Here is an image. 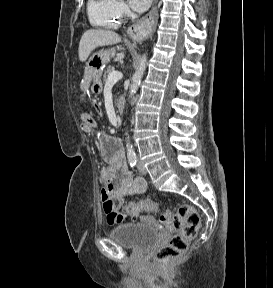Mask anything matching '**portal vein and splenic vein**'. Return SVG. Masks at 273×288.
<instances>
[{"label": "portal vein and splenic vein", "instance_id": "18ae733b", "mask_svg": "<svg viewBox=\"0 0 273 288\" xmlns=\"http://www.w3.org/2000/svg\"><path fill=\"white\" fill-rule=\"evenodd\" d=\"M123 77L122 73L119 71H113L108 75L107 84H114Z\"/></svg>", "mask_w": 273, "mask_h": 288}]
</instances>
